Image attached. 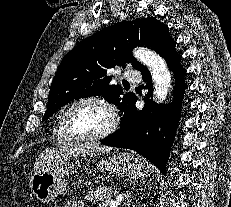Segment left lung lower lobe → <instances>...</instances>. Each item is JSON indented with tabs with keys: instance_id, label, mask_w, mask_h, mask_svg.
<instances>
[{
	"instance_id": "1",
	"label": "left lung lower lobe",
	"mask_w": 231,
	"mask_h": 207,
	"mask_svg": "<svg viewBox=\"0 0 231 207\" xmlns=\"http://www.w3.org/2000/svg\"><path fill=\"white\" fill-rule=\"evenodd\" d=\"M175 45L176 42L173 41L161 54L176 78L173 103L161 105L153 102L151 74L144 67L141 73L149 93L144 97L143 109L137 110L135 97L121 119V128L101 141L104 145L138 152L164 173L177 129L182 105L181 93L186 88L183 81L185 71L180 65L181 56L175 51Z\"/></svg>"
}]
</instances>
